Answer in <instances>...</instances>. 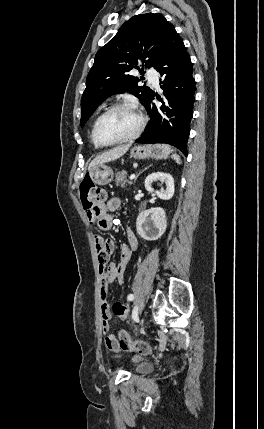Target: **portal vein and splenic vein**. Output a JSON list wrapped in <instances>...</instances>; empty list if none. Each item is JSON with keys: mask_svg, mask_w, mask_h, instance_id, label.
Here are the masks:
<instances>
[{"mask_svg": "<svg viewBox=\"0 0 264 429\" xmlns=\"http://www.w3.org/2000/svg\"><path fill=\"white\" fill-rule=\"evenodd\" d=\"M133 179H135V174H131L130 176V180H133Z\"/></svg>", "mask_w": 264, "mask_h": 429, "instance_id": "portal-vein-and-splenic-vein-1", "label": "portal vein and splenic vein"}]
</instances>
